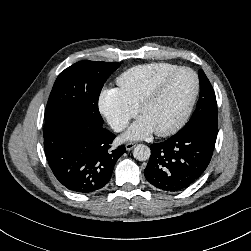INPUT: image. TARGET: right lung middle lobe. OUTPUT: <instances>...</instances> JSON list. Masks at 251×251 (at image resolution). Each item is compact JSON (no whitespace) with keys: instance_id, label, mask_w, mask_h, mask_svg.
Wrapping results in <instances>:
<instances>
[{"instance_id":"dd1d6c3e","label":"right lung middle lobe","mask_w":251,"mask_h":251,"mask_svg":"<svg viewBox=\"0 0 251 251\" xmlns=\"http://www.w3.org/2000/svg\"><path fill=\"white\" fill-rule=\"evenodd\" d=\"M120 63L80 61L62 71L52 88L45 110V121L63 115L77 114L98 124L103 119L98 98L107 78Z\"/></svg>"}]
</instances>
